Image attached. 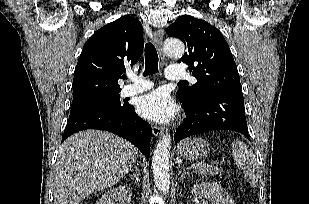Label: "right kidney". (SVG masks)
<instances>
[{
    "label": "right kidney",
    "instance_id": "1",
    "mask_svg": "<svg viewBox=\"0 0 309 204\" xmlns=\"http://www.w3.org/2000/svg\"><path fill=\"white\" fill-rule=\"evenodd\" d=\"M132 197V190L128 186H119L105 192L96 204H115L119 201L121 204H130Z\"/></svg>",
    "mask_w": 309,
    "mask_h": 204
}]
</instances>
